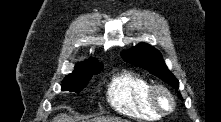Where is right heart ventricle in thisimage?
Wrapping results in <instances>:
<instances>
[{"instance_id": "e07e8e85", "label": "right heart ventricle", "mask_w": 221, "mask_h": 122, "mask_svg": "<svg viewBox=\"0 0 221 122\" xmlns=\"http://www.w3.org/2000/svg\"><path fill=\"white\" fill-rule=\"evenodd\" d=\"M150 86V82L144 76L125 70L111 78L107 87V100L120 114L144 120H157L161 115L150 104Z\"/></svg>"}]
</instances>
